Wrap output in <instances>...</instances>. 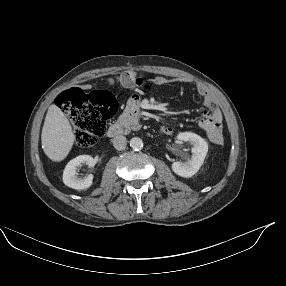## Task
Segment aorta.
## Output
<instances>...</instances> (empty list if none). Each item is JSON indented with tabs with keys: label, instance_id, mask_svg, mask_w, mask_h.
<instances>
[{
	"label": "aorta",
	"instance_id": "obj_1",
	"mask_svg": "<svg viewBox=\"0 0 286 286\" xmlns=\"http://www.w3.org/2000/svg\"><path fill=\"white\" fill-rule=\"evenodd\" d=\"M130 147L133 150H141L143 148V141L138 137H133L130 140Z\"/></svg>",
	"mask_w": 286,
	"mask_h": 286
}]
</instances>
